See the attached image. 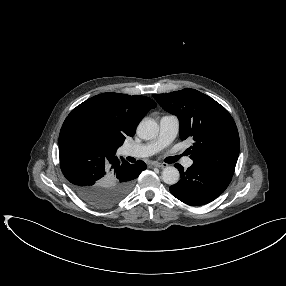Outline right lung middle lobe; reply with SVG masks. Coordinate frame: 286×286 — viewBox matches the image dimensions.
Here are the masks:
<instances>
[{"mask_svg":"<svg viewBox=\"0 0 286 286\" xmlns=\"http://www.w3.org/2000/svg\"><path fill=\"white\" fill-rule=\"evenodd\" d=\"M82 132H84L86 135L91 137L94 141L100 142L101 141V135L99 131L94 128L91 125L85 124V123H76L75 124Z\"/></svg>","mask_w":286,"mask_h":286,"instance_id":"1","label":"right lung middle lobe"}]
</instances>
